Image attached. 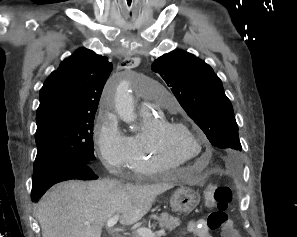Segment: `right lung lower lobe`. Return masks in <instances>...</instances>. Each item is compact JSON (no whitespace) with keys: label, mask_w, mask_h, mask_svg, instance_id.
<instances>
[{"label":"right lung lower lobe","mask_w":297,"mask_h":237,"mask_svg":"<svg viewBox=\"0 0 297 237\" xmlns=\"http://www.w3.org/2000/svg\"><path fill=\"white\" fill-rule=\"evenodd\" d=\"M98 176L84 162H65L54 165L44 184L33 187L31 199L38 200L54 184L67 180H94Z\"/></svg>","instance_id":"obj_1"}]
</instances>
